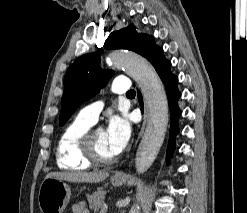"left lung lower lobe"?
<instances>
[{"mask_svg": "<svg viewBox=\"0 0 247 213\" xmlns=\"http://www.w3.org/2000/svg\"><path fill=\"white\" fill-rule=\"evenodd\" d=\"M154 67L165 85L168 103L171 110V127L169 133V144L167 148V159H169L175 149V136L179 132L177 121L181 114L180 109L177 107V101L180 97V92L177 90L178 78L171 73V63L165 59L161 60L157 64H154ZM138 96L142 105V98L139 92Z\"/></svg>", "mask_w": 247, "mask_h": 213, "instance_id": "obj_1", "label": "left lung lower lobe"}]
</instances>
